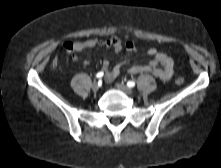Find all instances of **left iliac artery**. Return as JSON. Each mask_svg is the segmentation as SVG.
Masks as SVG:
<instances>
[{
	"mask_svg": "<svg viewBox=\"0 0 221 168\" xmlns=\"http://www.w3.org/2000/svg\"><path fill=\"white\" fill-rule=\"evenodd\" d=\"M127 86L130 87V88L134 87L135 86V82L134 81H128L127 82Z\"/></svg>",
	"mask_w": 221,
	"mask_h": 168,
	"instance_id": "1",
	"label": "left iliac artery"
}]
</instances>
